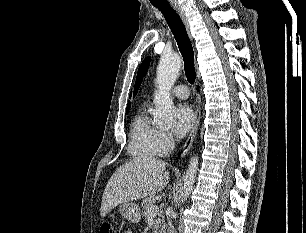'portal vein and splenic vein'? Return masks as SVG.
Returning a JSON list of instances; mask_svg holds the SVG:
<instances>
[{
    "label": "portal vein and splenic vein",
    "mask_w": 306,
    "mask_h": 233,
    "mask_svg": "<svg viewBox=\"0 0 306 233\" xmlns=\"http://www.w3.org/2000/svg\"><path fill=\"white\" fill-rule=\"evenodd\" d=\"M158 211H159L158 206H156V205L150 206L149 209H148V215L149 216H154V215L157 214Z\"/></svg>",
    "instance_id": "obj_1"
}]
</instances>
